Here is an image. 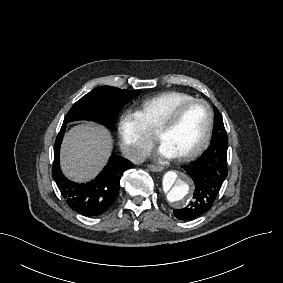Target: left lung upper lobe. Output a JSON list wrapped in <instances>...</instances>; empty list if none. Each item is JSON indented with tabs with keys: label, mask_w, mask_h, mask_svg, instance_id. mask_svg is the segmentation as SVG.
<instances>
[{
	"label": "left lung upper lobe",
	"mask_w": 283,
	"mask_h": 283,
	"mask_svg": "<svg viewBox=\"0 0 283 283\" xmlns=\"http://www.w3.org/2000/svg\"><path fill=\"white\" fill-rule=\"evenodd\" d=\"M214 111H215V117H218V118L222 117L220 112L218 111V109L216 107H214Z\"/></svg>",
	"instance_id": "left-lung-upper-lobe-1"
}]
</instances>
